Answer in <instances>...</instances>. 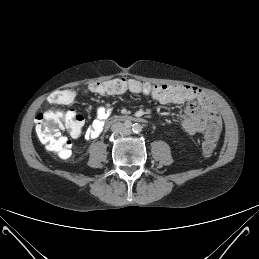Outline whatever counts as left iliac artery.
I'll return each instance as SVG.
<instances>
[{
	"instance_id": "1",
	"label": "left iliac artery",
	"mask_w": 259,
	"mask_h": 259,
	"mask_svg": "<svg viewBox=\"0 0 259 259\" xmlns=\"http://www.w3.org/2000/svg\"><path fill=\"white\" fill-rule=\"evenodd\" d=\"M141 131H142V126L140 124L136 123V124L133 125V132L139 133Z\"/></svg>"
}]
</instances>
